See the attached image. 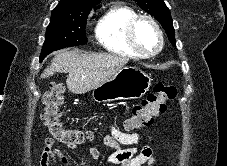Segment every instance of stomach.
<instances>
[{"instance_id":"stomach-1","label":"stomach","mask_w":227,"mask_h":166,"mask_svg":"<svg viewBox=\"0 0 227 166\" xmlns=\"http://www.w3.org/2000/svg\"><path fill=\"white\" fill-rule=\"evenodd\" d=\"M151 78L137 67H123L108 81L93 89L96 102L139 99L149 90Z\"/></svg>"}]
</instances>
